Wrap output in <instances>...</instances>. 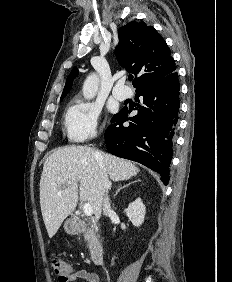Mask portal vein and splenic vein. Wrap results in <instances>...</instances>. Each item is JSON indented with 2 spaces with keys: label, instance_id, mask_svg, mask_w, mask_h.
Listing matches in <instances>:
<instances>
[{
  "label": "portal vein and splenic vein",
  "instance_id": "18ae733b",
  "mask_svg": "<svg viewBox=\"0 0 232 282\" xmlns=\"http://www.w3.org/2000/svg\"><path fill=\"white\" fill-rule=\"evenodd\" d=\"M70 184V183H69ZM61 193V192H60ZM83 212L86 216H91L93 214V209L90 203H85L83 205Z\"/></svg>",
  "mask_w": 232,
  "mask_h": 282
}]
</instances>
